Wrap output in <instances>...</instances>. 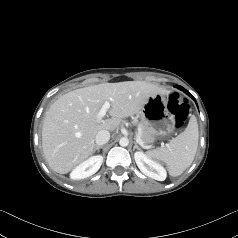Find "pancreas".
I'll list each match as a JSON object with an SVG mask.
<instances>
[{
  "mask_svg": "<svg viewBox=\"0 0 238 238\" xmlns=\"http://www.w3.org/2000/svg\"><path fill=\"white\" fill-rule=\"evenodd\" d=\"M139 136L141 137V140L143 141V143H149L150 139H151V130L148 129L144 124L139 123Z\"/></svg>",
  "mask_w": 238,
  "mask_h": 238,
  "instance_id": "pancreas-1",
  "label": "pancreas"
}]
</instances>
